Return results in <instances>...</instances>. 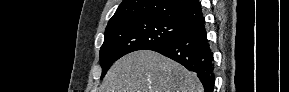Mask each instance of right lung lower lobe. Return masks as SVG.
<instances>
[{
	"instance_id": "1",
	"label": "right lung lower lobe",
	"mask_w": 289,
	"mask_h": 92,
	"mask_svg": "<svg viewBox=\"0 0 289 92\" xmlns=\"http://www.w3.org/2000/svg\"><path fill=\"white\" fill-rule=\"evenodd\" d=\"M203 16L193 20L175 38L149 50L156 51L196 73L205 92H213L214 63Z\"/></svg>"
}]
</instances>
